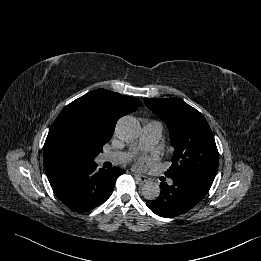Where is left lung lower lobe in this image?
Wrapping results in <instances>:
<instances>
[{
	"label": "left lung lower lobe",
	"mask_w": 261,
	"mask_h": 261,
	"mask_svg": "<svg viewBox=\"0 0 261 261\" xmlns=\"http://www.w3.org/2000/svg\"><path fill=\"white\" fill-rule=\"evenodd\" d=\"M172 185L161 183L160 196L146 201V205L157 215L175 217L192 209L208 193L214 179L185 173L170 177Z\"/></svg>",
	"instance_id": "1"
}]
</instances>
